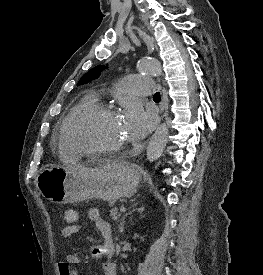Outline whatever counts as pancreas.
Masks as SVG:
<instances>
[{"instance_id":"cf45deb5","label":"pancreas","mask_w":263,"mask_h":275,"mask_svg":"<svg viewBox=\"0 0 263 275\" xmlns=\"http://www.w3.org/2000/svg\"><path fill=\"white\" fill-rule=\"evenodd\" d=\"M120 216H121V213L118 212V209H117V208H113V209L110 211V217H111L113 220H117Z\"/></svg>"}]
</instances>
